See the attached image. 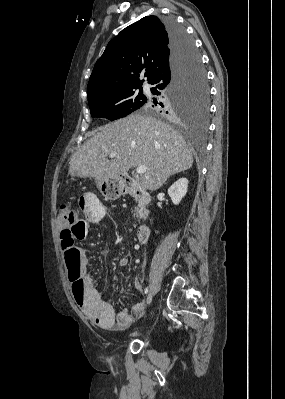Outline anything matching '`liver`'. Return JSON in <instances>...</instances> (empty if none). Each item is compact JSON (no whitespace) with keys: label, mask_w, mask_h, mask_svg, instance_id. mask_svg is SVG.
Segmentation results:
<instances>
[{"label":"liver","mask_w":285,"mask_h":399,"mask_svg":"<svg viewBox=\"0 0 285 399\" xmlns=\"http://www.w3.org/2000/svg\"><path fill=\"white\" fill-rule=\"evenodd\" d=\"M193 148L166 123L140 113L100 127L72 155L69 173L97 179L126 176L129 169L146 166L141 186L159 189L167 179L193 165ZM111 153L116 157L108 160Z\"/></svg>","instance_id":"obj_1"}]
</instances>
